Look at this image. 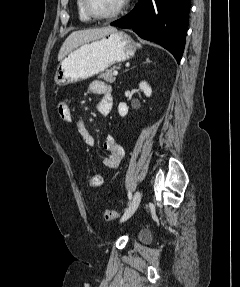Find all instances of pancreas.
Instances as JSON below:
<instances>
[{"label":"pancreas","instance_id":"pancreas-1","mask_svg":"<svg viewBox=\"0 0 240 287\" xmlns=\"http://www.w3.org/2000/svg\"><path fill=\"white\" fill-rule=\"evenodd\" d=\"M117 69H120V65L119 66H112L110 67L109 69L105 70L104 73H102L100 75L101 78H103L106 82H109V83H114L115 81V75H114V72L117 70Z\"/></svg>","mask_w":240,"mask_h":287}]
</instances>
